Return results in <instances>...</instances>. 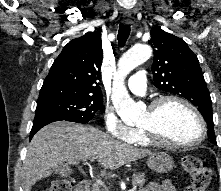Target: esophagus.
<instances>
[{
    "mask_svg": "<svg viewBox=\"0 0 221 191\" xmlns=\"http://www.w3.org/2000/svg\"><path fill=\"white\" fill-rule=\"evenodd\" d=\"M124 23L129 24L132 23V18L130 15H125L123 18Z\"/></svg>",
    "mask_w": 221,
    "mask_h": 191,
    "instance_id": "1",
    "label": "esophagus"
}]
</instances>
